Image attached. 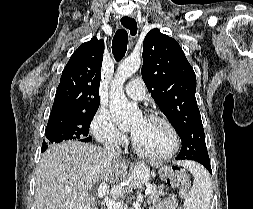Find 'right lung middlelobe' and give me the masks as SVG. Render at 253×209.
<instances>
[{
	"instance_id": "1",
	"label": "right lung middle lobe",
	"mask_w": 253,
	"mask_h": 209,
	"mask_svg": "<svg viewBox=\"0 0 253 209\" xmlns=\"http://www.w3.org/2000/svg\"><path fill=\"white\" fill-rule=\"evenodd\" d=\"M98 107L87 111L49 117L45 130L46 138L42 144V152L47 149L48 145L63 140H79L83 142L91 140V137L88 136L90 122Z\"/></svg>"
}]
</instances>
